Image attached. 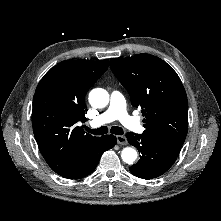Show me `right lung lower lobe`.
<instances>
[{"instance_id":"obj_1","label":"right lung lower lobe","mask_w":221,"mask_h":221,"mask_svg":"<svg viewBox=\"0 0 221 221\" xmlns=\"http://www.w3.org/2000/svg\"><path fill=\"white\" fill-rule=\"evenodd\" d=\"M116 142V137L113 135L100 137L96 145L85 152L71 169L59 175L68 179H79L89 175L95 170L102 154L114 147Z\"/></svg>"}]
</instances>
